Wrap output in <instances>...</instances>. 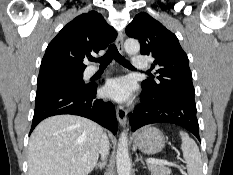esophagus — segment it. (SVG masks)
<instances>
[{"label": "esophagus", "mask_w": 233, "mask_h": 175, "mask_svg": "<svg viewBox=\"0 0 233 175\" xmlns=\"http://www.w3.org/2000/svg\"><path fill=\"white\" fill-rule=\"evenodd\" d=\"M123 43H124V35L122 32H119L116 39V45L120 52L124 51ZM116 115L120 126L124 127L127 121V110L123 106L119 105L116 107Z\"/></svg>", "instance_id": "obj_1"}]
</instances>
